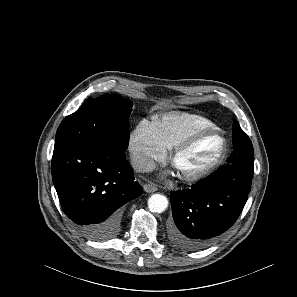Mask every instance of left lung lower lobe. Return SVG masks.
Here are the masks:
<instances>
[{"mask_svg":"<svg viewBox=\"0 0 297 297\" xmlns=\"http://www.w3.org/2000/svg\"><path fill=\"white\" fill-rule=\"evenodd\" d=\"M253 169L251 163L226 165L190 188L172 192V244L184 250H199L229 229L245 206Z\"/></svg>","mask_w":297,"mask_h":297,"instance_id":"left-lung-lower-lobe-1","label":"left lung lower lobe"}]
</instances>
